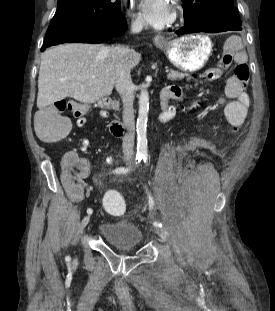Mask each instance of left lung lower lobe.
<instances>
[{
    "instance_id": "left-lung-lower-lobe-1",
    "label": "left lung lower lobe",
    "mask_w": 275,
    "mask_h": 311,
    "mask_svg": "<svg viewBox=\"0 0 275 311\" xmlns=\"http://www.w3.org/2000/svg\"><path fill=\"white\" fill-rule=\"evenodd\" d=\"M242 24L231 22L225 16H208L195 21L187 22L185 25L177 30L176 34L194 33V32H208L218 33L225 31L241 30Z\"/></svg>"
}]
</instances>
